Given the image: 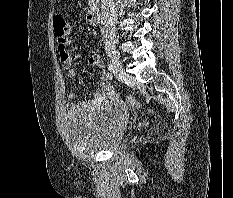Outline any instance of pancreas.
I'll return each instance as SVG.
<instances>
[{
    "label": "pancreas",
    "mask_w": 233,
    "mask_h": 198,
    "mask_svg": "<svg viewBox=\"0 0 233 198\" xmlns=\"http://www.w3.org/2000/svg\"><path fill=\"white\" fill-rule=\"evenodd\" d=\"M99 3V0H88V5H97Z\"/></svg>",
    "instance_id": "obj_1"
}]
</instances>
